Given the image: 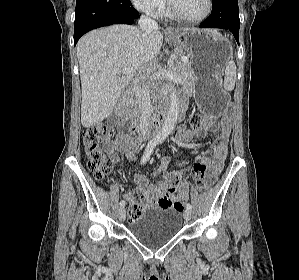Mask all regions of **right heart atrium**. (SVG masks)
I'll return each instance as SVG.
<instances>
[{"instance_id":"obj_1","label":"right heart atrium","mask_w":299,"mask_h":280,"mask_svg":"<svg viewBox=\"0 0 299 280\" xmlns=\"http://www.w3.org/2000/svg\"><path fill=\"white\" fill-rule=\"evenodd\" d=\"M164 0H131L133 5L148 13L156 14V12L162 7Z\"/></svg>"}]
</instances>
